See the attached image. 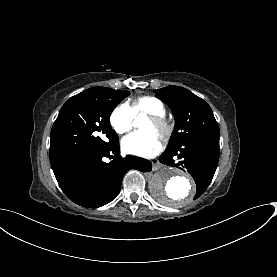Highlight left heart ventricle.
Segmentation results:
<instances>
[{"instance_id":"obj_1","label":"left heart ventricle","mask_w":277,"mask_h":277,"mask_svg":"<svg viewBox=\"0 0 277 277\" xmlns=\"http://www.w3.org/2000/svg\"><path fill=\"white\" fill-rule=\"evenodd\" d=\"M142 131H149L158 134L159 128L150 118H148L142 127Z\"/></svg>"}]
</instances>
